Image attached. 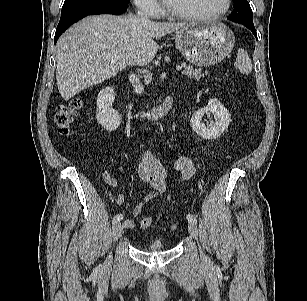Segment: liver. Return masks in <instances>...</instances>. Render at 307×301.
<instances>
[{
	"label": "liver",
	"mask_w": 307,
	"mask_h": 301,
	"mask_svg": "<svg viewBox=\"0 0 307 301\" xmlns=\"http://www.w3.org/2000/svg\"><path fill=\"white\" fill-rule=\"evenodd\" d=\"M184 26L185 23L153 22L133 14L84 18L56 44L59 93L68 101L80 91L115 76L126 65H147L158 51L155 39Z\"/></svg>",
	"instance_id": "1"
}]
</instances>
